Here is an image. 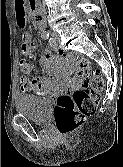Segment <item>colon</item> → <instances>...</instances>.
Masks as SVG:
<instances>
[{
	"label": "colon",
	"mask_w": 123,
	"mask_h": 167,
	"mask_svg": "<svg viewBox=\"0 0 123 167\" xmlns=\"http://www.w3.org/2000/svg\"><path fill=\"white\" fill-rule=\"evenodd\" d=\"M64 54V52H63ZM78 59L77 86L71 93L59 96L54 112L56 127L61 135H68L79 128L91 116L104 88L101 75L95 72L86 59ZM26 60L21 61V71L28 72Z\"/></svg>",
	"instance_id": "colon-1"
}]
</instances>
